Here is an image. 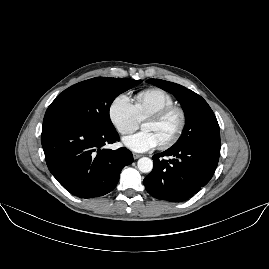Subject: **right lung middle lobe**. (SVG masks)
Listing matches in <instances>:
<instances>
[{
    "label": "right lung middle lobe",
    "mask_w": 269,
    "mask_h": 269,
    "mask_svg": "<svg viewBox=\"0 0 269 269\" xmlns=\"http://www.w3.org/2000/svg\"><path fill=\"white\" fill-rule=\"evenodd\" d=\"M141 82L126 78L95 77L64 90L47 110L66 113L100 130H115L108 117L111 103L119 94Z\"/></svg>",
    "instance_id": "dd1d6c3e"
}]
</instances>
